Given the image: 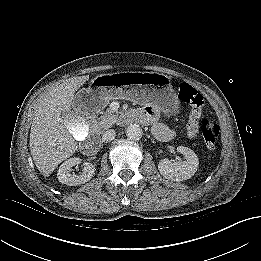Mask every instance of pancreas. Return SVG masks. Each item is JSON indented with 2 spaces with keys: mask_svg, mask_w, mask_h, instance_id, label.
Here are the masks:
<instances>
[{
  "mask_svg": "<svg viewBox=\"0 0 261 261\" xmlns=\"http://www.w3.org/2000/svg\"><path fill=\"white\" fill-rule=\"evenodd\" d=\"M119 115L111 111L110 109L102 113L100 119L94 124V128L97 131L106 130L114 125L117 122Z\"/></svg>",
  "mask_w": 261,
  "mask_h": 261,
  "instance_id": "pancreas-1",
  "label": "pancreas"
}]
</instances>
